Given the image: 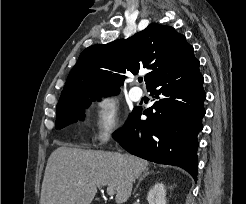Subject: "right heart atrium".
<instances>
[{
    "label": "right heart atrium",
    "mask_w": 246,
    "mask_h": 204,
    "mask_svg": "<svg viewBox=\"0 0 246 204\" xmlns=\"http://www.w3.org/2000/svg\"><path fill=\"white\" fill-rule=\"evenodd\" d=\"M121 124L117 101L113 96L102 95L94 100L92 118V139L104 145L116 134Z\"/></svg>",
    "instance_id": "d8ad5b80"
}]
</instances>
